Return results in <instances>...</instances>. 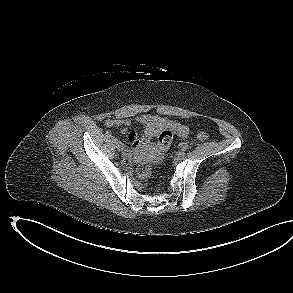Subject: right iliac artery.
I'll return each mask as SVG.
<instances>
[{
    "label": "right iliac artery",
    "instance_id": "82829eb1",
    "mask_svg": "<svg viewBox=\"0 0 293 293\" xmlns=\"http://www.w3.org/2000/svg\"><path fill=\"white\" fill-rule=\"evenodd\" d=\"M106 133H107V135H108L109 137H111V139H112L113 142H115V141L117 140L114 136L111 135L110 132L107 131Z\"/></svg>",
    "mask_w": 293,
    "mask_h": 293
}]
</instances>
